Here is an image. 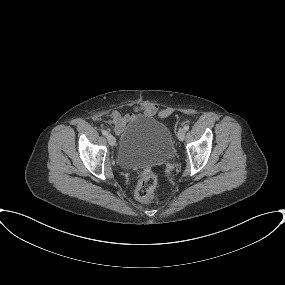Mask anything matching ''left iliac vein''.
Here are the masks:
<instances>
[{
    "label": "left iliac vein",
    "instance_id": "1",
    "mask_svg": "<svg viewBox=\"0 0 285 285\" xmlns=\"http://www.w3.org/2000/svg\"><path fill=\"white\" fill-rule=\"evenodd\" d=\"M177 137L180 141H183L185 138V130L184 129H179L177 133Z\"/></svg>",
    "mask_w": 285,
    "mask_h": 285
}]
</instances>
